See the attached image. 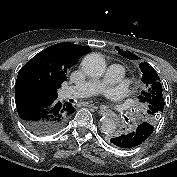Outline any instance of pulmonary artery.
Wrapping results in <instances>:
<instances>
[{"label":"pulmonary artery","instance_id":"1","mask_svg":"<svg viewBox=\"0 0 177 177\" xmlns=\"http://www.w3.org/2000/svg\"><path fill=\"white\" fill-rule=\"evenodd\" d=\"M125 73L126 71L122 65L111 64L103 77L68 87L63 90L62 97L70 99L93 96L103 90L107 85L119 82L123 79Z\"/></svg>","mask_w":177,"mask_h":177}]
</instances>
